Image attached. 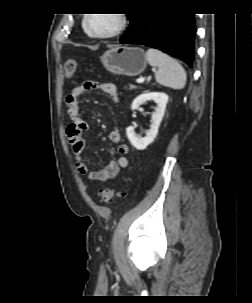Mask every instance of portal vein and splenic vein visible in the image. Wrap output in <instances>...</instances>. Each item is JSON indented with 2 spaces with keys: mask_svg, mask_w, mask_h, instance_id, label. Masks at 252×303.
I'll list each match as a JSON object with an SVG mask.
<instances>
[{
  "mask_svg": "<svg viewBox=\"0 0 252 303\" xmlns=\"http://www.w3.org/2000/svg\"><path fill=\"white\" fill-rule=\"evenodd\" d=\"M145 81V78L144 77H140L137 79V83H143Z\"/></svg>",
  "mask_w": 252,
  "mask_h": 303,
  "instance_id": "portal-vein-and-splenic-vein-1",
  "label": "portal vein and splenic vein"
}]
</instances>
